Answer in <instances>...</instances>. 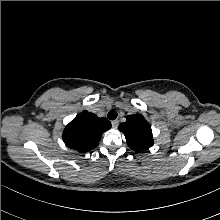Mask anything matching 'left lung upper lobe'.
<instances>
[{
    "mask_svg": "<svg viewBox=\"0 0 220 220\" xmlns=\"http://www.w3.org/2000/svg\"><path fill=\"white\" fill-rule=\"evenodd\" d=\"M119 130L124 133L129 147L136 152L153 145L151 125L141 114L127 116L126 122L119 125Z\"/></svg>",
    "mask_w": 220,
    "mask_h": 220,
    "instance_id": "left-lung-upper-lobe-1",
    "label": "left lung upper lobe"
}]
</instances>
